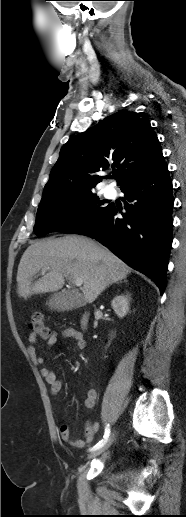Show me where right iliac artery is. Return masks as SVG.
Instances as JSON below:
<instances>
[{"label":"right iliac artery","mask_w":186,"mask_h":517,"mask_svg":"<svg viewBox=\"0 0 186 517\" xmlns=\"http://www.w3.org/2000/svg\"><path fill=\"white\" fill-rule=\"evenodd\" d=\"M109 435H110V428H109V425L106 426L105 428V433H104V436H103V440L99 441L93 448H91L90 450L93 451L97 448H100L101 446H103L108 438H109Z\"/></svg>","instance_id":"obj_1"}]
</instances>
